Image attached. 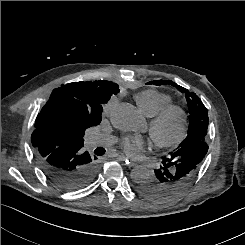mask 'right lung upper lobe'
<instances>
[{
	"label": "right lung upper lobe",
	"mask_w": 245,
	"mask_h": 245,
	"mask_svg": "<svg viewBox=\"0 0 245 245\" xmlns=\"http://www.w3.org/2000/svg\"><path fill=\"white\" fill-rule=\"evenodd\" d=\"M118 92L119 86L106 80L73 82L54 89L35 121L31 137L35 150L83 144L85 130L101 122L103 106Z\"/></svg>",
	"instance_id": "right-lung-upper-lobe-1"
}]
</instances>
